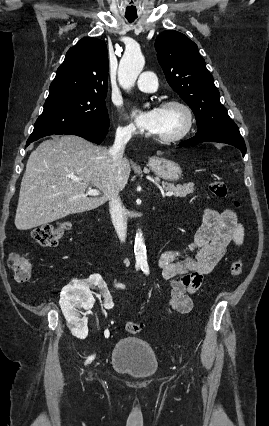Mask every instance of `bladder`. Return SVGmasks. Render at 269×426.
Wrapping results in <instances>:
<instances>
[{
    "label": "bladder",
    "mask_w": 269,
    "mask_h": 426,
    "mask_svg": "<svg viewBox=\"0 0 269 426\" xmlns=\"http://www.w3.org/2000/svg\"><path fill=\"white\" fill-rule=\"evenodd\" d=\"M110 364L118 371L137 377L151 376L158 369L155 351L138 337L120 339L113 346Z\"/></svg>",
    "instance_id": "1"
}]
</instances>
